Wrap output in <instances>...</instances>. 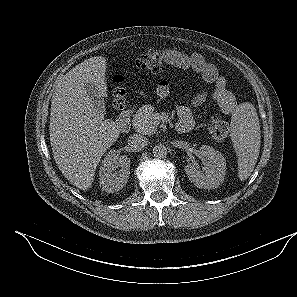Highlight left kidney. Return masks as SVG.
<instances>
[{
	"label": "left kidney",
	"mask_w": 297,
	"mask_h": 297,
	"mask_svg": "<svg viewBox=\"0 0 297 297\" xmlns=\"http://www.w3.org/2000/svg\"><path fill=\"white\" fill-rule=\"evenodd\" d=\"M200 153L206 160L204 172L199 170L196 163L187 164L185 172L196 187L217 188L223 182L226 174V160L219 151L208 145H202Z\"/></svg>",
	"instance_id": "1"
}]
</instances>
